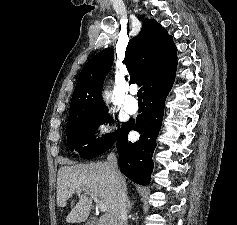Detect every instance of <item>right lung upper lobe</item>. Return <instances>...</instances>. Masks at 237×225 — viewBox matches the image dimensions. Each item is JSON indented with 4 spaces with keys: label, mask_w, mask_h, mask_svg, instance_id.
<instances>
[{
    "label": "right lung upper lobe",
    "mask_w": 237,
    "mask_h": 225,
    "mask_svg": "<svg viewBox=\"0 0 237 225\" xmlns=\"http://www.w3.org/2000/svg\"><path fill=\"white\" fill-rule=\"evenodd\" d=\"M113 59V49L107 48L83 67L71 99V112L91 116L108 110L101 87ZM124 63L130 84L143 85L144 96L161 83L175 79L178 61L173 37L155 19L144 21L139 34L128 42Z\"/></svg>",
    "instance_id": "cb5924a9"
}]
</instances>
